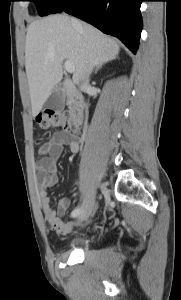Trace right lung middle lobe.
Returning a JSON list of instances; mask_svg holds the SVG:
<instances>
[{"label": "right lung middle lobe", "instance_id": "dd1d6c3e", "mask_svg": "<svg viewBox=\"0 0 181 300\" xmlns=\"http://www.w3.org/2000/svg\"><path fill=\"white\" fill-rule=\"evenodd\" d=\"M37 4L38 12L40 16H46L62 6L65 0H29Z\"/></svg>", "mask_w": 181, "mask_h": 300}]
</instances>
